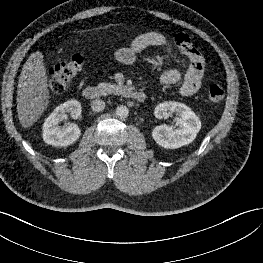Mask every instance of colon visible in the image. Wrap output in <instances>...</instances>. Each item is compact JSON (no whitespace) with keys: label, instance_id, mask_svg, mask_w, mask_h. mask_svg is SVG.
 I'll return each mask as SVG.
<instances>
[{"label":"colon","instance_id":"colon-1","mask_svg":"<svg viewBox=\"0 0 263 263\" xmlns=\"http://www.w3.org/2000/svg\"><path fill=\"white\" fill-rule=\"evenodd\" d=\"M83 65V57L76 53L66 60L49 69V88L52 92L64 91L75 78ZM225 92L219 85H212L208 89V100L211 104H218L224 98Z\"/></svg>","mask_w":263,"mask_h":263}]
</instances>
